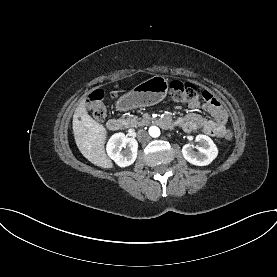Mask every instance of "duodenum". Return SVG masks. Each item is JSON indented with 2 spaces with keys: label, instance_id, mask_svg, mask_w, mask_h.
<instances>
[{
  "label": "duodenum",
  "instance_id": "duodenum-1",
  "mask_svg": "<svg viewBox=\"0 0 277 277\" xmlns=\"http://www.w3.org/2000/svg\"><path fill=\"white\" fill-rule=\"evenodd\" d=\"M159 122L162 125L170 126V123L166 119H161V120H159ZM122 126H123L122 121L117 118H111L107 122V128L111 131H117V130L121 129Z\"/></svg>",
  "mask_w": 277,
  "mask_h": 277
}]
</instances>
